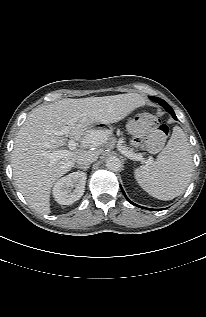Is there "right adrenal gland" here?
I'll use <instances>...</instances> for the list:
<instances>
[{"label": "right adrenal gland", "instance_id": "2a0ac1e0", "mask_svg": "<svg viewBox=\"0 0 206 317\" xmlns=\"http://www.w3.org/2000/svg\"><path fill=\"white\" fill-rule=\"evenodd\" d=\"M89 167H90L89 165H88V166H83V167H82V166H77V168L83 169V170H85V171H86Z\"/></svg>", "mask_w": 206, "mask_h": 317}]
</instances>
